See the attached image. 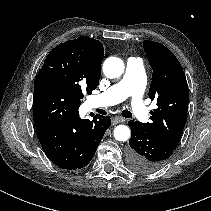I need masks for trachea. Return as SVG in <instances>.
Returning <instances> with one entry per match:
<instances>
[{"label":"trachea","instance_id":"3493384b","mask_svg":"<svg viewBox=\"0 0 211 211\" xmlns=\"http://www.w3.org/2000/svg\"><path fill=\"white\" fill-rule=\"evenodd\" d=\"M122 115L126 118H132V113L128 110H123Z\"/></svg>","mask_w":211,"mask_h":211}]
</instances>
